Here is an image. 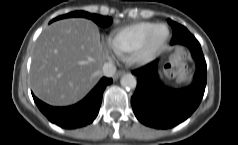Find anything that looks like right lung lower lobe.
I'll list each match as a JSON object with an SVG mask.
<instances>
[{
    "label": "right lung lower lobe",
    "instance_id": "right-lung-lower-lobe-1",
    "mask_svg": "<svg viewBox=\"0 0 238 145\" xmlns=\"http://www.w3.org/2000/svg\"><path fill=\"white\" fill-rule=\"evenodd\" d=\"M111 83V78L103 77L83 100L68 107H52L32 95L39 110L50 122L65 129H75L92 123L97 117L103 92Z\"/></svg>",
    "mask_w": 238,
    "mask_h": 145
}]
</instances>
